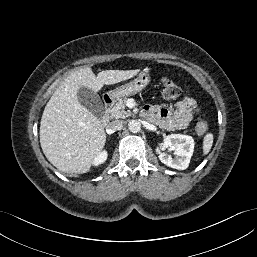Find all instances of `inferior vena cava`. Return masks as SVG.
Returning a JSON list of instances; mask_svg holds the SVG:
<instances>
[{
  "label": "inferior vena cava",
  "instance_id": "inferior-vena-cava-1",
  "mask_svg": "<svg viewBox=\"0 0 257 257\" xmlns=\"http://www.w3.org/2000/svg\"><path fill=\"white\" fill-rule=\"evenodd\" d=\"M122 126H123V121H121V120L113 121V122H111V123L108 125V131H109L110 133H113V132H115L116 130L120 129Z\"/></svg>",
  "mask_w": 257,
  "mask_h": 257
}]
</instances>
